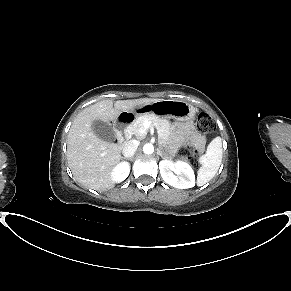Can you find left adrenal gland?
Masks as SVG:
<instances>
[{
    "instance_id": "left-adrenal-gland-1",
    "label": "left adrenal gland",
    "mask_w": 291,
    "mask_h": 291,
    "mask_svg": "<svg viewBox=\"0 0 291 291\" xmlns=\"http://www.w3.org/2000/svg\"><path fill=\"white\" fill-rule=\"evenodd\" d=\"M162 148L161 147H159L158 149H157V155H159V156H161L162 158H164V156H163V154H162Z\"/></svg>"
}]
</instances>
